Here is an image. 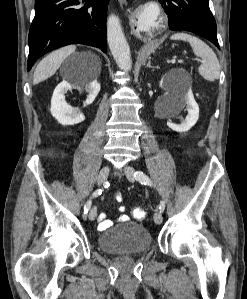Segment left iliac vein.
Instances as JSON below:
<instances>
[{
  "mask_svg": "<svg viewBox=\"0 0 247 299\" xmlns=\"http://www.w3.org/2000/svg\"><path fill=\"white\" fill-rule=\"evenodd\" d=\"M125 175L128 178L129 181L134 182V173L135 169L131 166H126L124 169ZM154 221L156 224H161L163 221L162 214L159 211H156L154 214Z\"/></svg>",
  "mask_w": 247,
  "mask_h": 299,
  "instance_id": "left-iliac-vein-1",
  "label": "left iliac vein"
}]
</instances>
